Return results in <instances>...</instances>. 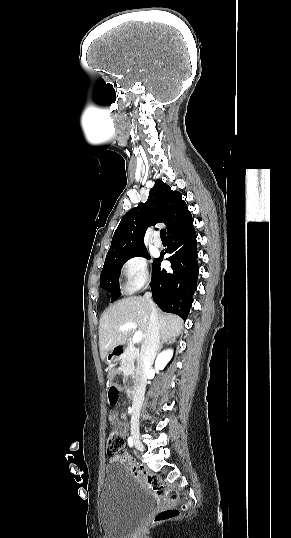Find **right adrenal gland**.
I'll return each mask as SVG.
<instances>
[{"label": "right adrenal gland", "instance_id": "obj_1", "mask_svg": "<svg viewBox=\"0 0 291 538\" xmlns=\"http://www.w3.org/2000/svg\"><path fill=\"white\" fill-rule=\"evenodd\" d=\"M175 342V339H169V340H162L158 346V351L161 350L162 348V345L165 343V344H171V343H174Z\"/></svg>", "mask_w": 291, "mask_h": 538}]
</instances>
